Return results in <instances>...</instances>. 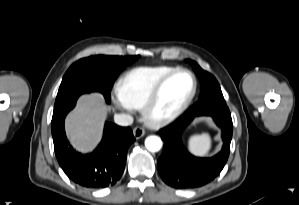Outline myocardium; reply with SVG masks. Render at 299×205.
Instances as JSON below:
<instances>
[{"label":"myocardium","mask_w":299,"mask_h":205,"mask_svg":"<svg viewBox=\"0 0 299 205\" xmlns=\"http://www.w3.org/2000/svg\"><path fill=\"white\" fill-rule=\"evenodd\" d=\"M185 73L190 76L192 81V88L188 95V97L184 100V102L178 106L176 109L165 113V114H156L155 108L160 98V95L167 85V83L174 78L176 75ZM197 91V80L195 75L188 69L178 68L164 76L153 88L151 93L149 94L148 98L144 102L141 111L144 120L152 127H161L166 124L171 123L172 121L176 120L179 116H181L187 108L192 103Z\"/></svg>","instance_id":"myocardium-1"}]
</instances>
